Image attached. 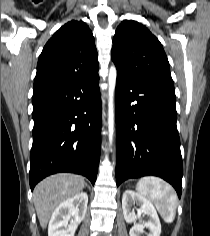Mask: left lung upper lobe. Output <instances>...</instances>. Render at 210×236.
I'll return each mask as SVG.
<instances>
[{
    "mask_svg": "<svg viewBox=\"0 0 210 236\" xmlns=\"http://www.w3.org/2000/svg\"><path fill=\"white\" fill-rule=\"evenodd\" d=\"M111 55L117 75L136 82L174 87L161 43L138 22L125 20L118 26Z\"/></svg>",
    "mask_w": 210,
    "mask_h": 236,
    "instance_id": "1",
    "label": "left lung upper lobe"
}]
</instances>
